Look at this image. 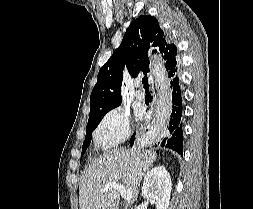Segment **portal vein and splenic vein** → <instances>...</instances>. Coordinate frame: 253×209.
I'll return each instance as SVG.
<instances>
[{
    "label": "portal vein and splenic vein",
    "instance_id": "portal-vein-and-splenic-vein-1",
    "mask_svg": "<svg viewBox=\"0 0 253 209\" xmlns=\"http://www.w3.org/2000/svg\"><path fill=\"white\" fill-rule=\"evenodd\" d=\"M113 189L118 190L124 200H131L132 192L130 190H127L123 184H119L117 182H108L103 188L100 189V191L107 192Z\"/></svg>",
    "mask_w": 253,
    "mask_h": 209
}]
</instances>
